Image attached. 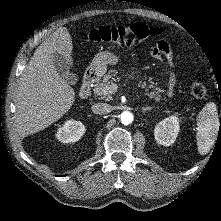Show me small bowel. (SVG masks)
Segmentation results:
<instances>
[{"mask_svg": "<svg viewBox=\"0 0 221 221\" xmlns=\"http://www.w3.org/2000/svg\"><path fill=\"white\" fill-rule=\"evenodd\" d=\"M152 53L157 58H165L167 61H170L171 59V51L170 47L167 42L160 40L157 42L156 46L152 48ZM174 87V81L173 79H170L169 86H168V94L172 93Z\"/></svg>", "mask_w": 221, "mask_h": 221, "instance_id": "1", "label": "small bowel"}]
</instances>
